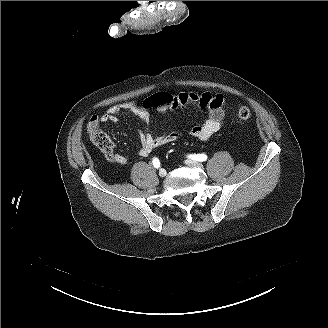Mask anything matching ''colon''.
Instances as JSON below:
<instances>
[{"label":"colon","instance_id":"5ec220e1","mask_svg":"<svg viewBox=\"0 0 328 328\" xmlns=\"http://www.w3.org/2000/svg\"><path fill=\"white\" fill-rule=\"evenodd\" d=\"M176 102L174 94L171 93H156L148 97L143 102V107L146 109L153 107H164L167 105H172ZM237 116L240 120H248L251 117V111L248 107H240L237 112ZM88 133L92 142L103 152L109 153L113 150V142L111 138L101 129L99 124V118L94 116L90 119L88 123Z\"/></svg>","mask_w":328,"mask_h":328}]
</instances>
